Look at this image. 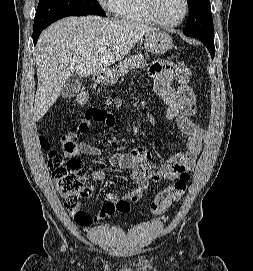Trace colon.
Returning <instances> with one entry per match:
<instances>
[{
  "instance_id": "obj_1",
  "label": "colon",
  "mask_w": 253,
  "mask_h": 271,
  "mask_svg": "<svg viewBox=\"0 0 253 271\" xmlns=\"http://www.w3.org/2000/svg\"><path fill=\"white\" fill-rule=\"evenodd\" d=\"M179 67L190 73L189 68L183 62L179 63ZM88 100L89 95L84 88H81L75 95V101L78 104L84 105ZM87 115L96 121H104L109 117V113L101 109H92ZM40 144L43 149L48 150V165L65 208L77 224L91 225L95 218L84 212L80 206L81 201L88 198L91 193V187L85 180V170L81 160L77 157H65L56 150L50 149V143L45 137H40ZM188 180L189 175H183L158 192L151 203V213L156 216L162 215L173 202L180 200L186 192ZM105 206L122 213L130 210V202L126 199H119L113 205Z\"/></svg>"
}]
</instances>
